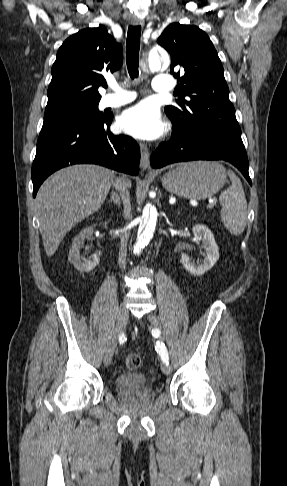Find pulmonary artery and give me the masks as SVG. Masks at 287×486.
I'll list each match as a JSON object with an SVG mask.
<instances>
[{
  "label": "pulmonary artery",
  "mask_w": 287,
  "mask_h": 486,
  "mask_svg": "<svg viewBox=\"0 0 287 486\" xmlns=\"http://www.w3.org/2000/svg\"><path fill=\"white\" fill-rule=\"evenodd\" d=\"M114 93L107 94L102 98V105L104 107H118L125 105L134 100L135 94L127 92L120 88L117 84L111 85ZM174 88V81L169 75H158L154 78L153 89L156 92L167 93Z\"/></svg>",
  "instance_id": "1"
}]
</instances>
